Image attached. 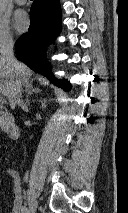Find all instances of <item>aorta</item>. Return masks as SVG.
<instances>
[{"instance_id":"aorta-1","label":"aorta","mask_w":128,"mask_h":213,"mask_svg":"<svg viewBox=\"0 0 128 213\" xmlns=\"http://www.w3.org/2000/svg\"><path fill=\"white\" fill-rule=\"evenodd\" d=\"M7 1L8 0H0V12L4 11V9L6 8Z\"/></svg>"}]
</instances>
